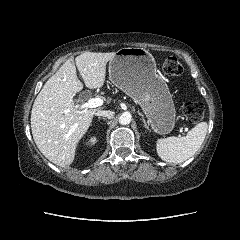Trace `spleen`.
Wrapping results in <instances>:
<instances>
[{
  "instance_id": "1",
  "label": "spleen",
  "mask_w": 240,
  "mask_h": 240,
  "mask_svg": "<svg viewBox=\"0 0 240 240\" xmlns=\"http://www.w3.org/2000/svg\"><path fill=\"white\" fill-rule=\"evenodd\" d=\"M208 124L201 122L193 127L185 137L158 139V156L169 163H182L192 157L201 147L207 134Z\"/></svg>"
}]
</instances>
